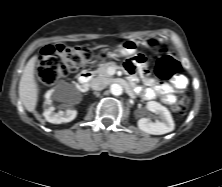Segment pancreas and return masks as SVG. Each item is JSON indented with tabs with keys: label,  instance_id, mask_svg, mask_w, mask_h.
<instances>
[{
	"label": "pancreas",
	"instance_id": "1",
	"mask_svg": "<svg viewBox=\"0 0 222 187\" xmlns=\"http://www.w3.org/2000/svg\"><path fill=\"white\" fill-rule=\"evenodd\" d=\"M110 67H116V64L114 62L101 64L100 67L96 71H94V73L101 78H109L110 75L108 74V69Z\"/></svg>",
	"mask_w": 222,
	"mask_h": 187
}]
</instances>
